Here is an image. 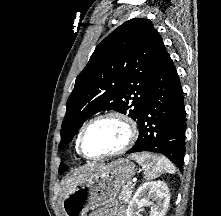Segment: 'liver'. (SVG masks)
<instances>
[{
  "label": "liver",
  "instance_id": "1",
  "mask_svg": "<svg viewBox=\"0 0 221 216\" xmlns=\"http://www.w3.org/2000/svg\"><path fill=\"white\" fill-rule=\"evenodd\" d=\"M97 167L96 163L87 164L85 166L79 167L73 171L70 176H67L63 181L64 196L70 191L76 184H78L82 179L87 177L91 172H93Z\"/></svg>",
  "mask_w": 221,
  "mask_h": 216
}]
</instances>
